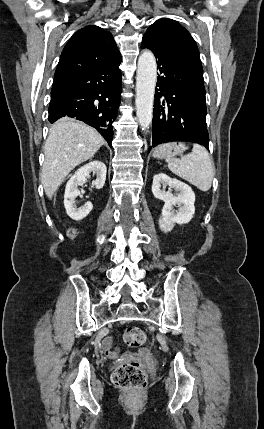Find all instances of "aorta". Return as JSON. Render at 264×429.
I'll return each mask as SVG.
<instances>
[{
	"mask_svg": "<svg viewBox=\"0 0 264 429\" xmlns=\"http://www.w3.org/2000/svg\"><path fill=\"white\" fill-rule=\"evenodd\" d=\"M157 78V65L153 53L145 50L138 59L136 78V114L143 130L149 128L153 117V102Z\"/></svg>",
	"mask_w": 264,
	"mask_h": 429,
	"instance_id": "762f6f07",
	"label": "aorta"
}]
</instances>
